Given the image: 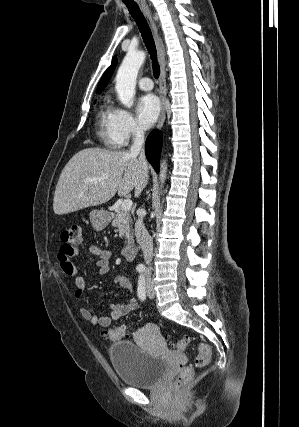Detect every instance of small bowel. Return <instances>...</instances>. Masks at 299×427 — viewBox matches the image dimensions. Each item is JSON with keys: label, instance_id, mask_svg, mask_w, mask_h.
<instances>
[{"label": "small bowel", "instance_id": "c3829d8e", "mask_svg": "<svg viewBox=\"0 0 299 427\" xmlns=\"http://www.w3.org/2000/svg\"><path fill=\"white\" fill-rule=\"evenodd\" d=\"M87 251L96 257L95 265L100 275H105L109 271L110 252L107 249L101 248L95 244L87 246ZM81 252L78 246L64 244L60 248L58 260L60 267L64 274L73 276L75 278L76 297L81 298L86 290L87 283L83 276L79 274L78 266L71 261L72 258L77 257ZM114 283L125 291L132 290V282L130 278L124 274H118L114 278ZM138 302L135 299H130L124 303H116L109 305V314L98 316L87 307L79 309L81 317L89 321L91 324H98L102 328L111 326L114 320H118L125 315L131 313L138 308Z\"/></svg>", "mask_w": 299, "mask_h": 427}]
</instances>
